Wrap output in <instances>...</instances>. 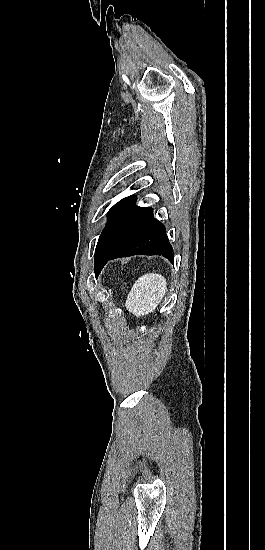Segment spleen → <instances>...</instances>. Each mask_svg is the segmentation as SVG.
<instances>
[{
  "label": "spleen",
  "instance_id": "3e777b00",
  "mask_svg": "<svg viewBox=\"0 0 265 550\" xmlns=\"http://www.w3.org/2000/svg\"><path fill=\"white\" fill-rule=\"evenodd\" d=\"M167 291L166 279L156 273H147L138 278L129 292L125 307L135 316L153 312Z\"/></svg>",
  "mask_w": 265,
  "mask_h": 550
}]
</instances>
